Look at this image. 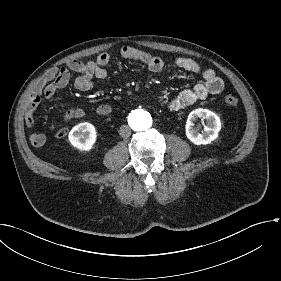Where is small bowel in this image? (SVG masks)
Wrapping results in <instances>:
<instances>
[{
	"label": "small bowel",
	"mask_w": 281,
	"mask_h": 281,
	"mask_svg": "<svg viewBox=\"0 0 281 281\" xmlns=\"http://www.w3.org/2000/svg\"><path fill=\"white\" fill-rule=\"evenodd\" d=\"M124 59L135 60L143 63L148 70L153 73H159L164 69V60L156 55L149 54L134 47L125 46L120 51ZM111 58L107 53H101L99 56L88 62L72 60L68 67L52 68L48 70L39 80L35 87V93L27 102L25 107V123L27 127L26 135L30 137L34 146H43L46 138L42 133H35L32 128L35 125V111L41 101V96L44 95L47 99H52L56 92L68 85L71 79L70 71L78 74L74 81V86L79 91H88L93 84V78L104 79L107 77L106 66ZM175 65L186 72L199 74L202 82L197 83L192 88L184 90L179 94L167 98L159 99L158 103L167 111L178 112L189 108L196 102L205 99L210 95L220 94L225 87L223 79L218 76L214 70L210 68H202L196 61L179 57L175 60ZM112 107L109 104H100L94 108V112L101 116H107L112 113ZM86 111L82 107H70L62 122L52 124L51 131L58 129L60 125L72 119L82 118Z\"/></svg>",
	"instance_id": "c3829d8e"
}]
</instances>
